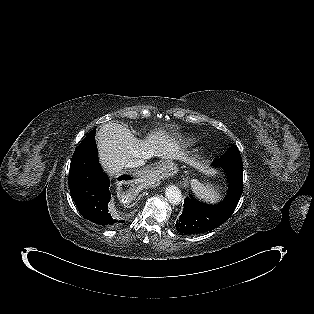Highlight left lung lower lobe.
I'll return each mask as SVG.
<instances>
[{
	"instance_id": "left-lung-lower-lobe-1",
	"label": "left lung lower lobe",
	"mask_w": 314,
	"mask_h": 314,
	"mask_svg": "<svg viewBox=\"0 0 314 314\" xmlns=\"http://www.w3.org/2000/svg\"><path fill=\"white\" fill-rule=\"evenodd\" d=\"M229 182L228 194L217 205H208L190 196L184 201V210L176 222L177 231L197 234L213 230L223 224L234 212L243 191L242 168H224Z\"/></svg>"
}]
</instances>
